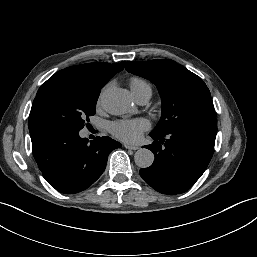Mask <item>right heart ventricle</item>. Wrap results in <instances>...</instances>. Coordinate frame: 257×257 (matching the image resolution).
Returning <instances> with one entry per match:
<instances>
[{
    "label": "right heart ventricle",
    "instance_id": "1",
    "mask_svg": "<svg viewBox=\"0 0 257 257\" xmlns=\"http://www.w3.org/2000/svg\"><path fill=\"white\" fill-rule=\"evenodd\" d=\"M129 87L134 98L144 93H149L151 95L150 85L141 78H131L129 81Z\"/></svg>",
    "mask_w": 257,
    "mask_h": 257
}]
</instances>
